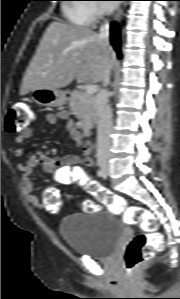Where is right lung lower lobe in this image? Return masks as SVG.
<instances>
[{
	"label": "right lung lower lobe",
	"instance_id": "obj_1",
	"mask_svg": "<svg viewBox=\"0 0 180 299\" xmlns=\"http://www.w3.org/2000/svg\"><path fill=\"white\" fill-rule=\"evenodd\" d=\"M110 32H111V35H110L111 44L114 47V49L117 53V56L119 58H121L122 55H121V50H120V31L115 26L114 23H111Z\"/></svg>",
	"mask_w": 180,
	"mask_h": 299
}]
</instances>
